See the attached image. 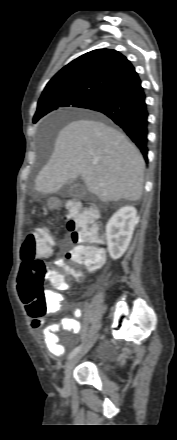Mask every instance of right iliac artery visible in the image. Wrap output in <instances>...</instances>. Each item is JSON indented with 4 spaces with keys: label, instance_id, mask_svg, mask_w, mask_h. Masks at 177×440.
Listing matches in <instances>:
<instances>
[{
    "label": "right iliac artery",
    "instance_id": "right-iliac-artery-1",
    "mask_svg": "<svg viewBox=\"0 0 177 440\" xmlns=\"http://www.w3.org/2000/svg\"><path fill=\"white\" fill-rule=\"evenodd\" d=\"M81 347L82 346L80 345V346L76 347L75 349H73L71 351V353L68 355V359H71L72 357H74L80 351Z\"/></svg>",
    "mask_w": 177,
    "mask_h": 440
}]
</instances>
